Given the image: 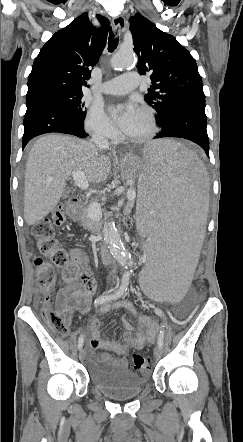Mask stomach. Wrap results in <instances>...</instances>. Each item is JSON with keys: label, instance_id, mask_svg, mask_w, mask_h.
Returning <instances> with one entry per match:
<instances>
[{"label": "stomach", "instance_id": "1", "mask_svg": "<svg viewBox=\"0 0 243 442\" xmlns=\"http://www.w3.org/2000/svg\"><path fill=\"white\" fill-rule=\"evenodd\" d=\"M140 157L134 154H126L119 161L118 166L121 171V175L125 179L136 178L137 165L139 164Z\"/></svg>", "mask_w": 243, "mask_h": 442}]
</instances>
